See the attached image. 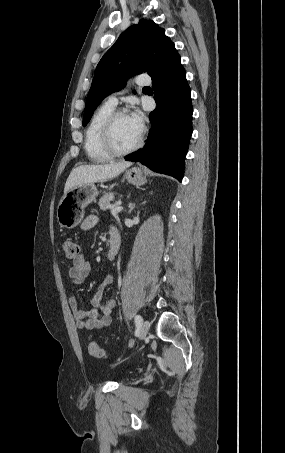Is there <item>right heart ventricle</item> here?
I'll list each match as a JSON object with an SVG mask.
<instances>
[{"mask_svg":"<svg viewBox=\"0 0 285 453\" xmlns=\"http://www.w3.org/2000/svg\"><path fill=\"white\" fill-rule=\"evenodd\" d=\"M114 111V106L103 103L93 113L85 130L84 149L91 162L103 163L111 156L101 144V129L107 117Z\"/></svg>","mask_w":285,"mask_h":453,"instance_id":"1","label":"right heart ventricle"}]
</instances>
